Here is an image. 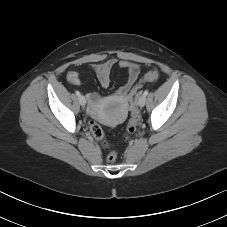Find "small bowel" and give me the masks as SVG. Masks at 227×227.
I'll list each match as a JSON object with an SVG mask.
<instances>
[{"instance_id":"1","label":"small bowel","mask_w":227,"mask_h":227,"mask_svg":"<svg viewBox=\"0 0 227 227\" xmlns=\"http://www.w3.org/2000/svg\"><path fill=\"white\" fill-rule=\"evenodd\" d=\"M116 65L124 69L128 75L125 84L119 87L115 92L116 97L124 99L133 89L139 77L140 67L138 64L127 60L111 58L104 62L92 64L91 70L95 73L101 87L108 88L111 83V71ZM66 78L67 81L73 85H79L81 83L80 75L76 71H69ZM88 100L90 109L95 110L100 102V96L93 92L88 95Z\"/></svg>"}]
</instances>
